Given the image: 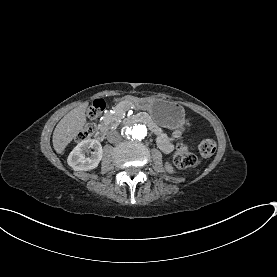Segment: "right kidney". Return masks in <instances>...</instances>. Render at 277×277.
I'll return each mask as SVG.
<instances>
[{
	"label": "right kidney",
	"mask_w": 277,
	"mask_h": 277,
	"mask_svg": "<svg viewBox=\"0 0 277 277\" xmlns=\"http://www.w3.org/2000/svg\"><path fill=\"white\" fill-rule=\"evenodd\" d=\"M93 149V151H91ZM91 152V156H86ZM103 149L99 141L87 139L81 141L69 154L67 164L74 171H90L98 167L102 160Z\"/></svg>",
	"instance_id": "right-kidney-1"
}]
</instances>
